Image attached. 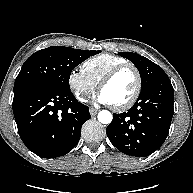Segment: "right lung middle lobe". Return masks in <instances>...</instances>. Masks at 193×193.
I'll list each match as a JSON object with an SVG mask.
<instances>
[{
	"label": "right lung middle lobe",
	"mask_w": 193,
	"mask_h": 193,
	"mask_svg": "<svg viewBox=\"0 0 193 193\" xmlns=\"http://www.w3.org/2000/svg\"><path fill=\"white\" fill-rule=\"evenodd\" d=\"M99 52L63 46L39 50L23 64L15 80L14 90L32 84H48L70 90L69 77L72 70Z\"/></svg>",
	"instance_id": "dd1d6c3e"
}]
</instances>
